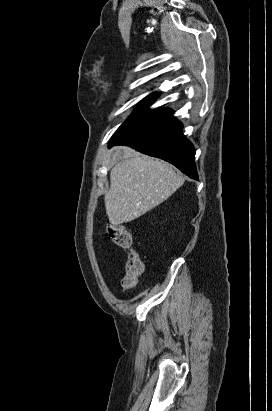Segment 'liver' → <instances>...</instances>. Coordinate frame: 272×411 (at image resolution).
Returning a JSON list of instances; mask_svg holds the SVG:
<instances>
[{
	"label": "liver",
	"instance_id": "liver-1",
	"mask_svg": "<svg viewBox=\"0 0 272 411\" xmlns=\"http://www.w3.org/2000/svg\"><path fill=\"white\" fill-rule=\"evenodd\" d=\"M110 189L105 194L109 222H130L170 197L184 183L172 166L124 146L115 147Z\"/></svg>",
	"mask_w": 272,
	"mask_h": 411
}]
</instances>
